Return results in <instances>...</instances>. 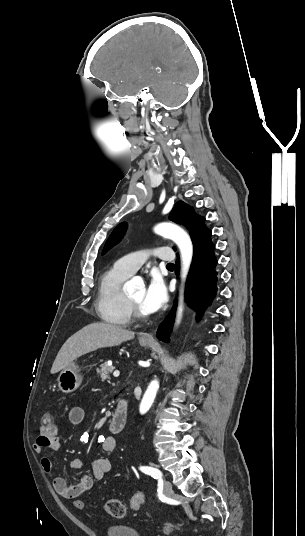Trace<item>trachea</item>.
I'll return each instance as SVG.
<instances>
[{"instance_id":"1","label":"trachea","mask_w":305,"mask_h":536,"mask_svg":"<svg viewBox=\"0 0 305 536\" xmlns=\"http://www.w3.org/2000/svg\"><path fill=\"white\" fill-rule=\"evenodd\" d=\"M167 269L168 270H174V264L173 263H168L167 264Z\"/></svg>"}]
</instances>
